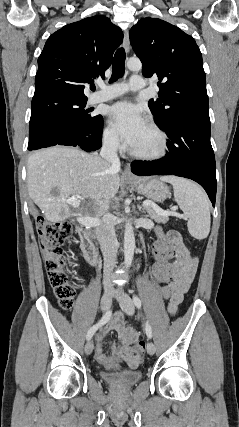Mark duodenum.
Instances as JSON below:
<instances>
[{"label":"duodenum","instance_id":"duodenum-1","mask_svg":"<svg viewBox=\"0 0 239 427\" xmlns=\"http://www.w3.org/2000/svg\"><path fill=\"white\" fill-rule=\"evenodd\" d=\"M77 233L86 260L90 265L96 266L98 264V253L89 232L83 227H78Z\"/></svg>","mask_w":239,"mask_h":427}]
</instances>
